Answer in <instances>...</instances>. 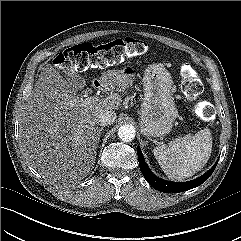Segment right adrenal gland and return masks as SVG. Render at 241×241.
<instances>
[{"label":"right adrenal gland","instance_id":"2a0ac1e0","mask_svg":"<svg viewBox=\"0 0 241 241\" xmlns=\"http://www.w3.org/2000/svg\"><path fill=\"white\" fill-rule=\"evenodd\" d=\"M103 130V128H100L99 131H98V142L100 140V135H101V131Z\"/></svg>","mask_w":241,"mask_h":241}]
</instances>
